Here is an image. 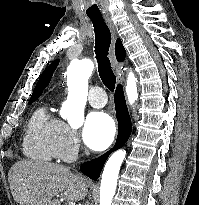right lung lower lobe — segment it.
Returning a JSON list of instances; mask_svg holds the SVG:
<instances>
[{
	"label": "right lung lower lobe",
	"instance_id": "1",
	"mask_svg": "<svg viewBox=\"0 0 199 205\" xmlns=\"http://www.w3.org/2000/svg\"><path fill=\"white\" fill-rule=\"evenodd\" d=\"M115 109L119 129L114 148H112L109 152L105 153L99 158L85 162L80 166L81 172L92 180H97L99 178L104 163L106 162L110 153L114 150L121 148L126 143L131 134V120L127 110L123 88L121 85L117 86L115 92Z\"/></svg>",
	"mask_w": 199,
	"mask_h": 205
}]
</instances>
